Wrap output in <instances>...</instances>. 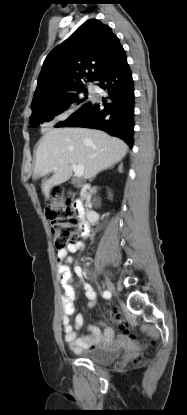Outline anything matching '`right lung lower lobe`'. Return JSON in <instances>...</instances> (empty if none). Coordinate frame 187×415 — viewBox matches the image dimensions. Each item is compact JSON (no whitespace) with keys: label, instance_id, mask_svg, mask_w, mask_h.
Masks as SVG:
<instances>
[{"label":"right lung lower lobe","instance_id":"obj_1","mask_svg":"<svg viewBox=\"0 0 187 415\" xmlns=\"http://www.w3.org/2000/svg\"><path fill=\"white\" fill-rule=\"evenodd\" d=\"M100 88L108 93L104 108L88 103L77 110L68 120L56 127H86L100 129L133 145L134 88L132 74L125 51L95 79Z\"/></svg>","mask_w":187,"mask_h":415}]
</instances>
